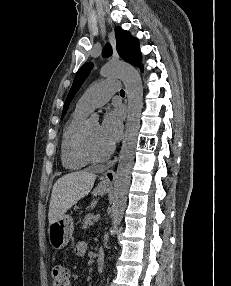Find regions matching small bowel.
Returning <instances> with one entry per match:
<instances>
[{
  "label": "small bowel",
  "instance_id": "obj_1",
  "mask_svg": "<svg viewBox=\"0 0 231 286\" xmlns=\"http://www.w3.org/2000/svg\"><path fill=\"white\" fill-rule=\"evenodd\" d=\"M86 250H87V244L85 242H78L75 244L74 246V253L77 255V256H83L85 255L86 253Z\"/></svg>",
  "mask_w": 231,
  "mask_h": 286
}]
</instances>
